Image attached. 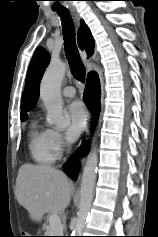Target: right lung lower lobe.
I'll return each instance as SVG.
<instances>
[{
  "label": "right lung lower lobe",
  "mask_w": 158,
  "mask_h": 237,
  "mask_svg": "<svg viewBox=\"0 0 158 237\" xmlns=\"http://www.w3.org/2000/svg\"><path fill=\"white\" fill-rule=\"evenodd\" d=\"M100 87L99 80L95 73H90L87 79L85 93H84V101L91 106L93 110L94 119L97 118L100 110ZM86 146L82 145L80 149H78L70 159L63 165L64 172L69 176L75 177V168H77V158L80 152H86Z\"/></svg>",
  "instance_id": "1"
}]
</instances>
